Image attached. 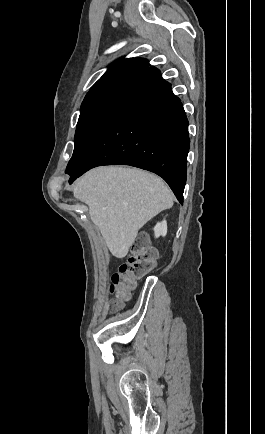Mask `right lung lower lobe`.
Instances as JSON below:
<instances>
[{"label": "right lung lower lobe", "mask_w": 265, "mask_h": 434, "mask_svg": "<svg viewBox=\"0 0 265 434\" xmlns=\"http://www.w3.org/2000/svg\"><path fill=\"white\" fill-rule=\"evenodd\" d=\"M190 140L180 99L151 66L126 85L81 161L66 170L72 183L101 165H130L156 173L180 203Z\"/></svg>", "instance_id": "obj_1"}]
</instances>
